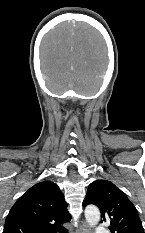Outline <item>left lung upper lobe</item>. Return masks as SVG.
<instances>
[{
  "instance_id": "5c2ea615",
  "label": "left lung upper lobe",
  "mask_w": 145,
  "mask_h": 233,
  "mask_svg": "<svg viewBox=\"0 0 145 233\" xmlns=\"http://www.w3.org/2000/svg\"><path fill=\"white\" fill-rule=\"evenodd\" d=\"M94 204L102 213V222L111 233H144L138 211L125 193L113 183L96 180L90 184L83 206Z\"/></svg>"
}]
</instances>
